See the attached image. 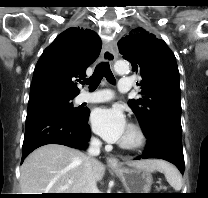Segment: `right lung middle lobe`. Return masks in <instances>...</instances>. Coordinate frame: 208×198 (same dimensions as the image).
Instances as JSON below:
<instances>
[{"label":"right lung middle lobe","mask_w":208,"mask_h":198,"mask_svg":"<svg viewBox=\"0 0 208 198\" xmlns=\"http://www.w3.org/2000/svg\"><path fill=\"white\" fill-rule=\"evenodd\" d=\"M72 99L73 98L48 101L28 107L27 117H30L37 113H44V112H63L77 117L84 116L86 113V109H82L80 107H74Z\"/></svg>","instance_id":"dd1d6c3e"}]
</instances>
